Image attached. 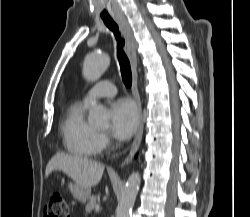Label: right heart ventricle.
<instances>
[{
  "instance_id": "1",
  "label": "right heart ventricle",
  "mask_w": 250,
  "mask_h": 217,
  "mask_svg": "<svg viewBox=\"0 0 250 217\" xmlns=\"http://www.w3.org/2000/svg\"><path fill=\"white\" fill-rule=\"evenodd\" d=\"M87 104L74 102L66 110L60 125L65 149L72 155L84 158L99 153L98 132L85 119Z\"/></svg>"
}]
</instances>
